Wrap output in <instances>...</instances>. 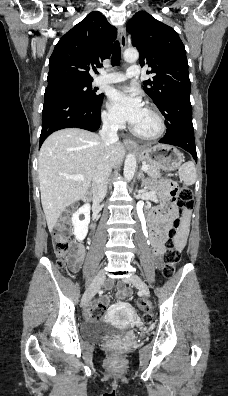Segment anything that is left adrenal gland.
<instances>
[{"instance_id": "1", "label": "left adrenal gland", "mask_w": 228, "mask_h": 396, "mask_svg": "<svg viewBox=\"0 0 228 396\" xmlns=\"http://www.w3.org/2000/svg\"><path fill=\"white\" fill-rule=\"evenodd\" d=\"M137 178L142 180L141 186H144L146 184V178L142 170L139 171Z\"/></svg>"}]
</instances>
